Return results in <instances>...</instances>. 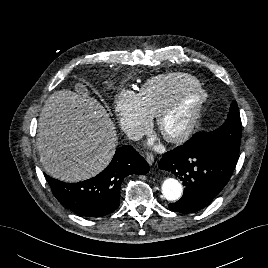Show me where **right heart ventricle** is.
<instances>
[{
    "instance_id": "obj_1",
    "label": "right heart ventricle",
    "mask_w": 268,
    "mask_h": 268,
    "mask_svg": "<svg viewBox=\"0 0 268 268\" xmlns=\"http://www.w3.org/2000/svg\"><path fill=\"white\" fill-rule=\"evenodd\" d=\"M196 85H200L199 80L191 74L181 72L159 74L143 84L140 95L151 114L156 116L178 91Z\"/></svg>"
}]
</instances>
